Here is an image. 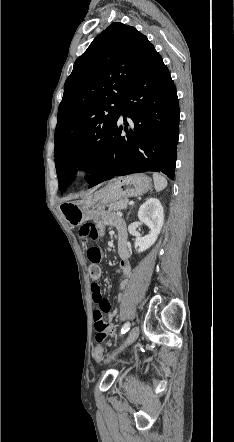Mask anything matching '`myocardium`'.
<instances>
[{"label":"myocardium","mask_w":234,"mask_h":442,"mask_svg":"<svg viewBox=\"0 0 234 442\" xmlns=\"http://www.w3.org/2000/svg\"><path fill=\"white\" fill-rule=\"evenodd\" d=\"M96 158L93 154L84 153L72 163L70 173L76 179L86 178L92 171Z\"/></svg>","instance_id":"myocardium-1"}]
</instances>
